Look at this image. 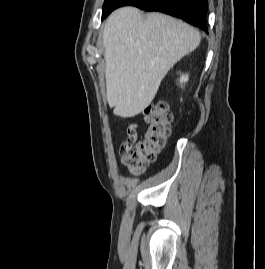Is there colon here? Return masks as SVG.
<instances>
[{
	"label": "colon",
	"instance_id": "obj_1",
	"mask_svg": "<svg viewBox=\"0 0 265 269\" xmlns=\"http://www.w3.org/2000/svg\"><path fill=\"white\" fill-rule=\"evenodd\" d=\"M147 127L138 140L137 125L126 129V139L120 146L123 162L132 174H141L148 163L155 161L157 153L165 144L172 121V113L163 101H157L144 110Z\"/></svg>",
	"mask_w": 265,
	"mask_h": 269
}]
</instances>
